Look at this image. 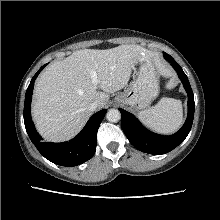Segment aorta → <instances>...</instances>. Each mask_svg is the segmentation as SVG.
<instances>
[{
  "instance_id": "aorta-1",
  "label": "aorta",
  "mask_w": 220,
  "mask_h": 220,
  "mask_svg": "<svg viewBox=\"0 0 220 220\" xmlns=\"http://www.w3.org/2000/svg\"><path fill=\"white\" fill-rule=\"evenodd\" d=\"M106 118L109 122H118L121 119V113L117 109H110L106 114Z\"/></svg>"
}]
</instances>
